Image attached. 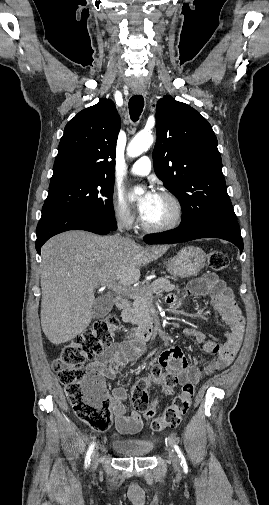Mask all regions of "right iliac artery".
<instances>
[{
    "label": "right iliac artery",
    "instance_id": "obj_1",
    "mask_svg": "<svg viewBox=\"0 0 269 505\" xmlns=\"http://www.w3.org/2000/svg\"><path fill=\"white\" fill-rule=\"evenodd\" d=\"M94 447H95V443L93 442L91 444V446L89 447L87 453H86V457H85V468H88L89 465H90V461H91V455L93 453V450H94Z\"/></svg>",
    "mask_w": 269,
    "mask_h": 505
}]
</instances>
